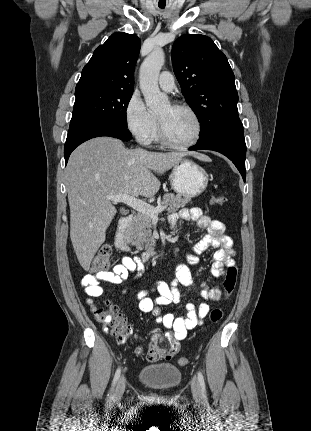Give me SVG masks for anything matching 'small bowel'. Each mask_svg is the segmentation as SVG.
<instances>
[{"mask_svg":"<svg viewBox=\"0 0 311 431\" xmlns=\"http://www.w3.org/2000/svg\"><path fill=\"white\" fill-rule=\"evenodd\" d=\"M180 220L193 221L198 228L207 232L194 246V253L187 256V262L189 264H196L198 262V255L209 248H216L213 255L214 262L211 272L215 278L223 277L225 268L235 264L233 259L235 256L233 240L230 236L224 234V224L218 220L210 219L199 208L181 209L169 216V223L172 228ZM142 270L143 267L138 258L125 256L121 263L114 265L108 271L84 276L81 283L87 294V303L91 310H96L92 297H99L103 294V289L99 285L100 282L120 284L129 277L130 273L135 271L142 272ZM194 284L188 266L186 264H179L175 269L174 280L171 282L158 281L155 283L152 290L157 291V297L152 298L150 296L152 290H140L137 292L136 297L138 299L139 310L152 314L158 324L163 325L169 330L165 334V337L173 338L177 341L183 340L189 330L202 324L203 319L209 313V305L201 303L195 306L188 303L185 306L186 314L184 316H175L170 312L162 315L161 307L180 302L181 293L178 285L193 287ZM196 292L206 300L216 301L221 299L222 296V291L219 287H209L206 284H202L200 288L196 289ZM105 331L107 332L108 329L106 328ZM157 337H160V335L154 336V338Z\"/></svg>","mask_w":311,"mask_h":431,"instance_id":"small-bowel-1","label":"small bowel"}]
</instances>
